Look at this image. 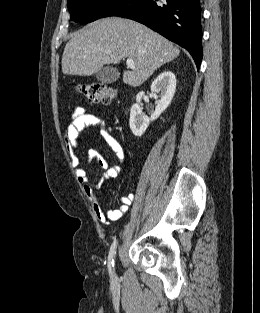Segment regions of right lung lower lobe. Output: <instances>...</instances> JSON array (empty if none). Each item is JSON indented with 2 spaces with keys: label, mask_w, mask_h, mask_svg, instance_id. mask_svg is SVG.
I'll list each match as a JSON object with an SVG mask.
<instances>
[{
  "label": "right lung lower lobe",
  "mask_w": 260,
  "mask_h": 313,
  "mask_svg": "<svg viewBox=\"0 0 260 313\" xmlns=\"http://www.w3.org/2000/svg\"><path fill=\"white\" fill-rule=\"evenodd\" d=\"M138 21L187 49L197 69L203 56L200 0H121L103 17Z\"/></svg>",
  "instance_id": "98d812e1"
}]
</instances>
